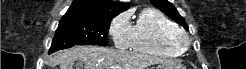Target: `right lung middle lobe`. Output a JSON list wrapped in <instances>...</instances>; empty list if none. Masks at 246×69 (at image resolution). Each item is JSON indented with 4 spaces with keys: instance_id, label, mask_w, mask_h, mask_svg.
Here are the masks:
<instances>
[{
    "instance_id": "dd1d6c3e",
    "label": "right lung middle lobe",
    "mask_w": 246,
    "mask_h": 69,
    "mask_svg": "<svg viewBox=\"0 0 246 69\" xmlns=\"http://www.w3.org/2000/svg\"><path fill=\"white\" fill-rule=\"evenodd\" d=\"M110 22L111 20H61L48 53L75 45L107 46Z\"/></svg>"
}]
</instances>
